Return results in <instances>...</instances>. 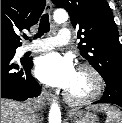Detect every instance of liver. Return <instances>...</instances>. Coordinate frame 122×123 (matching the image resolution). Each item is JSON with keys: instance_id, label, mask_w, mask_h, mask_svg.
<instances>
[{"instance_id": "1", "label": "liver", "mask_w": 122, "mask_h": 123, "mask_svg": "<svg viewBox=\"0 0 122 123\" xmlns=\"http://www.w3.org/2000/svg\"><path fill=\"white\" fill-rule=\"evenodd\" d=\"M37 117L26 103L1 99V123H35Z\"/></svg>"}]
</instances>
